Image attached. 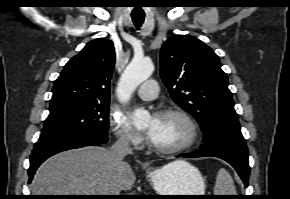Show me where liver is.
Listing matches in <instances>:
<instances>
[{"instance_id": "1", "label": "liver", "mask_w": 290, "mask_h": 199, "mask_svg": "<svg viewBox=\"0 0 290 199\" xmlns=\"http://www.w3.org/2000/svg\"><path fill=\"white\" fill-rule=\"evenodd\" d=\"M177 166L176 161L172 162ZM136 176L119 164L111 150L87 146L61 152L46 160L32 181L33 195H115L130 190Z\"/></svg>"}]
</instances>
